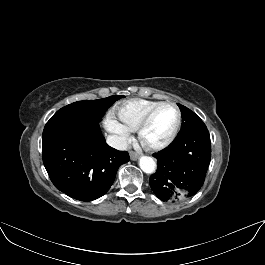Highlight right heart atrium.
Masks as SVG:
<instances>
[{"label": "right heart atrium", "instance_id": "obj_1", "mask_svg": "<svg viewBox=\"0 0 265 265\" xmlns=\"http://www.w3.org/2000/svg\"><path fill=\"white\" fill-rule=\"evenodd\" d=\"M106 129L114 134L120 145H125L129 139V131L113 116V114H107L105 117Z\"/></svg>", "mask_w": 265, "mask_h": 265}]
</instances>
